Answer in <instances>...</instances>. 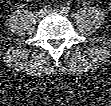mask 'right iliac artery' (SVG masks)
<instances>
[{
  "label": "right iliac artery",
  "instance_id": "obj_1",
  "mask_svg": "<svg viewBox=\"0 0 111 106\" xmlns=\"http://www.w3.org/2000/svg\"><path fill=\"white\" fill-rule=\"evenodd\" d=\"M44 9L47 10V11H51L52 10V6L51 5H46L44 7Z\"/></svg>",
  "mask_w": 111,
  "mask_h": 106
}]
</instances>
